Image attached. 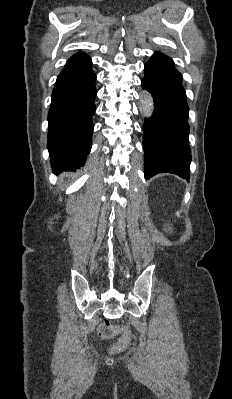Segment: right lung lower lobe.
I'll list each match as a JSON object with an SVG mask.
<instances>
[{"label":"right lung lower lobe","mask_w":232,"mask_h":399,"mask_svg":"<svg viewBox=\"0 0 232 399\" xmlns=\"http://www.w3.org/2000/svg\"><path fill=\"white\" fill-rule=\"evenodd\" d=\"M95 81L85 53L73 55L57 78L48 114V150L56 173L83 166L91 150Z\"/></svg>","instance_id":"98d812e1"}]
</instances>
